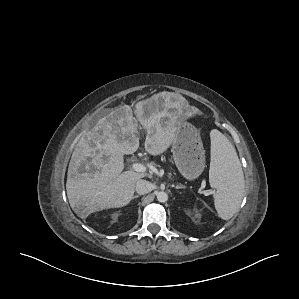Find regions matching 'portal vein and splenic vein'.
Segmentation results:
<instances>
[{
	"label": "portal vein and splenic vein",
	"mask_w": 299,
	"mask_h": 299,
	"mask_svg": "<svg viewBox=\"0 0 299 299\" xmlns=\"http://www.w3.org/2000/svg\"><path fill=\"white\" fill-rule=\"evenodd\" d=\"M132 169L136 172L144 173L146 171V166L141 163H134Z\"/></svg>",
	"instance_id": "1"
}]
</instances>
